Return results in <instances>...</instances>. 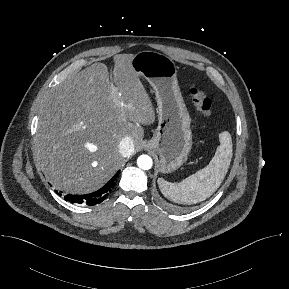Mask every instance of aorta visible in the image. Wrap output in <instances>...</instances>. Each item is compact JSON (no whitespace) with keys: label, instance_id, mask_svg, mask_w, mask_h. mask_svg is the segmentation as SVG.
<instances>
[{"label":"aorta","instance_id":"762f6f07","mask_svg":"<svg viewBox=\"0 0 289 289\" xmlns=\"http://www.w3.org/2000/svg\"><path fill=\"white\" fill-rule=\"evenodd\" d=\"M137 165L143 170H149L153 165L152 158L148 155H141L137 159Z\"/></svg>","mask_w":289,"mask_h":289}]
</instances>
